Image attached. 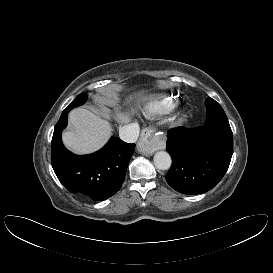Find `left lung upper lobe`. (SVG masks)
<instances>
[{"mask_svg": "<svg viewBox=\"0 0 273 273\" xmlns=\"http://www.w3.org/2000/svg\"><path fill=\"white\" fill-rule=\"evenodd\" d=\"M205 106L207 109V117L212 116H226L224 110L214 99L208 97L205 101Z\"/></svg>", "mask_w": 273, "mask_h": 273, "instance_id": "5c2ea615", "label": "left lung upper lobe"}]
</instances>
